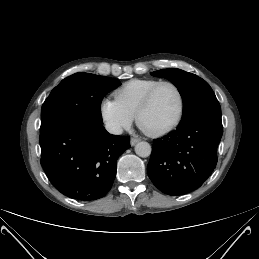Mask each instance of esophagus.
Wrapping results in <instances>:
<instances>
[{
  "mask_svg": "<svg viewBox=\"0 0 259 259\" xmlns=\"http://www.w3.org/2000/svg\"><path fill=\"white\" fill-rule=\"evenodd\" d=\"M139 141H140V140L137 139V138H131L130 144H131V146H134V145H136Z\"/></svg>",
  "mask_w": 259,
  "mask_h": 259,
  "instance_id": "34e87169",
  "label": "esophagus"
}]
</instances>
